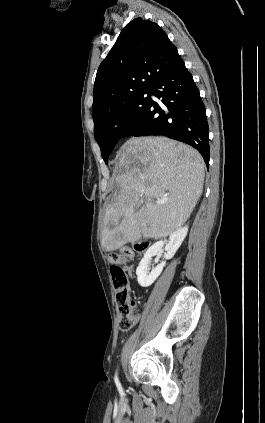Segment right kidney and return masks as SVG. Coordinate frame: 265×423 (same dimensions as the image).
Here are the masks:
<instances>
[{"instance_id": "right-kidney-1", "label": "right kidney", "mask_w": 265, "mask_h": 423, "mask_svg": "<svg viewBox=\"0 0 265 423\" xmlns=\"http://www.w3.org/2000/svg\"><path fill=\"white\" fill-rule=\"evenodd\" d=\"M187 233L188 227L184 226L170 234L169 240L165 243L166 260L173 258V256L181 246L182 242L184 241L185 237L187 236ZM163 246L164 241H158L154 243L144 254V257L142 258L141 262L139 263V266L136 269L137 280L140 286L149 287L161 274L164 266L166 265V261H163L158 264L151 271V273H149L148 271L149 263L152 257L157 255L158 252L162 250Z\"/></svg>"}]
</instances>
